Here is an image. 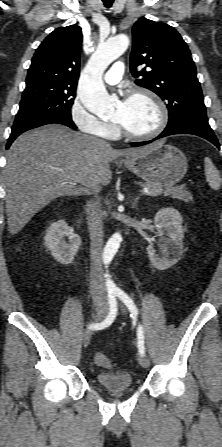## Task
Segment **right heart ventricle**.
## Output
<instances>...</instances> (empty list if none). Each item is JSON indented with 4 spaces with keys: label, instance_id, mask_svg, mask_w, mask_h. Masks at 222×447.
Segmentation results:
<instances>
[{
    "label": "right heart ventricle",
    "instance_id": "obj_1",
    "mask_svg": "<svg viewBox=\"0 0 222 447\" xmlns=\"http://www.w3.org/2000/svg\"><path fill=\"white\" fill-rule=\"evenodd\" d=\"M116 134H117L116 131L113 130V131H111V132L107 135V137H115Z\"/></svg>",
    "mask_w": 222,
    "mask_h": 447
}]
</instances>
